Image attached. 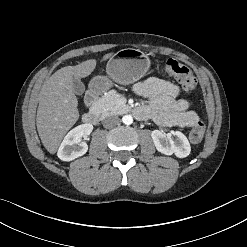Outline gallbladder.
<instances>
[{"label":"gallbladder","mask_w":247,"mask_h":247,"mask_svg":"<svg viewBox=\"0 0 247 247\" xmlns=\"http://www.w3.org/2000/svg\"><path fill=\"white\" fill-rule=\"evenodd\" d=\"M73 90L77 95H82L85 92V85L80 79H73Z\"/></svg>","instance_id":"bac80fb5"}]
</instances>
